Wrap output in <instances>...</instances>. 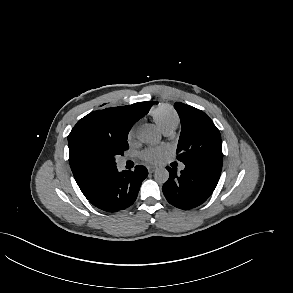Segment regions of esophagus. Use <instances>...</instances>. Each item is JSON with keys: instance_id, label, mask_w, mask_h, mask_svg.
I'll use <instances>...</instances> for the list:
<instances>
[{"instance_id": "obj_1", "label": "esophagus", "mask_w": 293, "mask_h": 293, "mask_svg": "<svg viewBox=\"0 0 293 293\" xmlns=\"http://www.w3.org/2000/svg\"><path fill=\"white\" fill-rule=\"evenodd\" d=\"M147 169H148L149 173H153L157 170V166L148 165Z\"/></svg>"}]
</instances>
